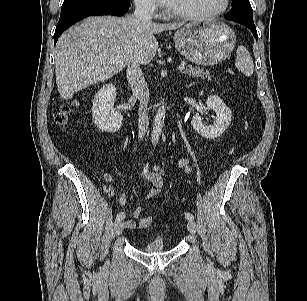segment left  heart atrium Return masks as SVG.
<instances>
[{
    "label": "left heart atrium",
    "mask_w": 307,
    "mask_h": 301,
    "mask_svg": "<svg viewBox=\"0 0 307 301\" xmlns=\"http://www.w3.org/2000/svg\"><path fill=\"white\" fill-rule=\"evenodd\" d=\"M162 5L169 6L171 0H159Z\"/></svg>",
    "instance_id": "1"
}]
</instances>
